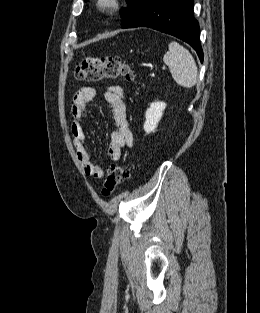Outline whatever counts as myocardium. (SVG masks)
<instances>
[{"label":"myocardium","mask_w":260,"mask_h":313,"mask_svg":"<svg viewBox=\"0 0 260 313\" xmlns=\"http://www.w3.org/2000/svg\"><path fill=\"white\" fill-rule=\"evenodd\" d=\"M121 0H97V8L103 13H111L119 9Z\"/></svg>","instance_id":"f54148a6"}]
</instances>
